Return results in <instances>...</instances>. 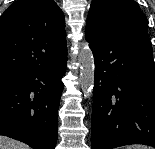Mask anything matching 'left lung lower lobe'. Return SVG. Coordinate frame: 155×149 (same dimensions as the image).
I'll return each instance as SVG.
<instances>
[{
    "label": "left lung lower lobe",
    "mask_w": 155,
    "mask_h": 149,
    "mask_svg": "<svg viewBox=\"0 0 155 149\" xmlns=\"http://www.w3.org/2000/svg\"><path fill=\"white\" fill-rule=\"evenodd\" d=\"M95 61L92 149L155 147V66L147 30L86 34Z\"/></svg>",
    "instance_id": "1"
}]
</instances>
